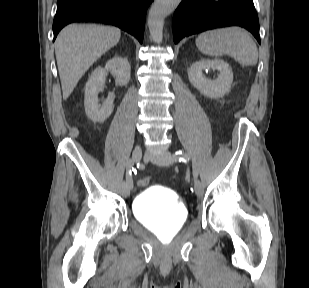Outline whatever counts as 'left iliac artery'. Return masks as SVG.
<instances>
[{"instance_id": "44dca946", "label": "left iliac artery", "mask_w": 309, "mask_h": 288, "mask_svg": "<svg viewBox=\"0 0 309 288\" xmlns=\"http://www.w3.org/2000/svg\"><path fill=\"white\" fill-rule=\"evenodd\" d=\"M173 160L174 161H180V162L182 161V162L186 163L190 160V157L184 151L177 150L173 155ZM192 170H193L194 177H197L198 173H199V169H198V165L195 162H192Z\"/></svg>"}]
</instances>
